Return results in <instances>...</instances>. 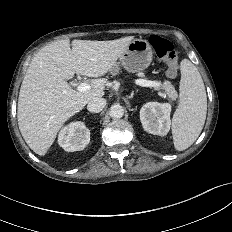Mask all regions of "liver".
Instances as JSON below:
<instances>
[{"label": "liver", "instance_id": "obj_1", "mask_svg": "<svg viewBox=\"0 0 232 232\" xmlns=\"http://www.w3.org/2000/svg\"><path fill=\"white\" fill-rule=\"evenodd\" d=\"M134 39H63L43 47L32 59L19 92L17 118L27 145L44 156L62 125L94 98L104 95L107 74ZM74 74L97 78L86 92L67 83Z\"/></svg>", "mask_w": 232, "mask_h": 232}]
</instances>
